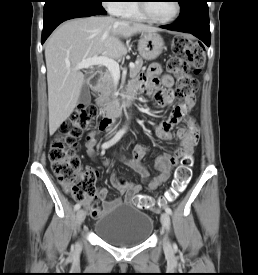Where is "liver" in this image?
Listing matches in <instances>:
<instances>
[{"mask_svg": "<svg viewBox=\"0 0 258 275\" xmlns=\"http://www.w3.org/2000/svg\"><path fill=\"white\" fill-rule=\"evenodd\" d=\"M142 23L91 16L66 21L46 42L49 133L53 135L75 109L85 76L76 66L95 55L119 59L126 53L121 37L153 33Z\"/></svg>", "mask_w": 258, "mask_h": 275, "instance_id": "6515ba94", "label": "liver"}]
</instances>
